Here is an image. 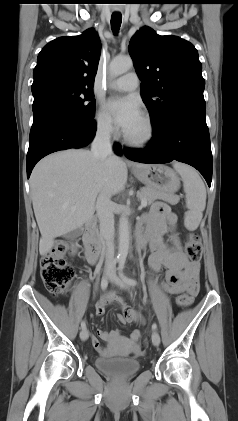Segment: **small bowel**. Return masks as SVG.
<instances>
[{"label":"small bowel","instance_id":"obj_1","mask_svg":"<svg viewBox=\"0 0 238 421\" xmlns=\"http://www.w3.org/2000/svg\"><path fill=\"white\" fill-rule=\"evenodd\" d=\"M177 216L166 204H155L150 212L139 223L138 229L150 246L149 266L158 274L166 269L163 288L171 295H178L186 291L191 282H198L200 264L192 262L185 254L183 243L176 231ZM169 234L170 245L164 241V235ZM116 305L121 313L118 320L121 323L141 322L142 316L131 309L114 291L106 293L96 304L97 315H102L109 305ZM98 337L110 345H122L127 351L136 349V343L141 337L139 330L131 332L129 337H123L118 330H98ZM96 351L103 356H110L112 348L103 347L95 336L91 339Z\"/></svg>","mask_w":238,"mask_h":421}]
</instances>
